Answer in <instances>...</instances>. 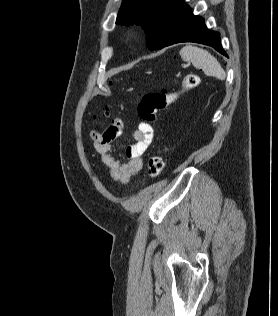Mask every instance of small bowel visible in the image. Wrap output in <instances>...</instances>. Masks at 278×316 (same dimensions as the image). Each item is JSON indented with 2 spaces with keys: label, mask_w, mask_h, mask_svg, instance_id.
Returning a JSON list of instances; mask_svg holds the SVG:
<instances>
[{
  "label": "small bowel",
  "mask_w": 278,
  "mask_h": 316,
  "mask_svg": "<svg viewBox=\"0 0 278 316\" xmlns=\"http://www.w3.org/2000/svg\"><path fill=\"white\" fill-rule=\"evenodd\" d=\"M122 130L123 121L116 117L103 133L94 132L92 140L110 177L121 184H127L142 169V156L152 142L154 130L149 123L140 121L133 132L134 142L125 149L126 161L121 162L113 155V142L122 134Z\"/></svg>",
  "instance_id": "small-bowel-1"
}]
</instances>
